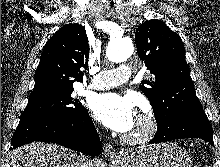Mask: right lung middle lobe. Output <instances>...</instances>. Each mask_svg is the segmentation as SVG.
<instances>
[{
	"label": "right lung middle lobe",
	"instance_id": "1",
	"mask_svg": "<svg viewBox=\"0 0 220 167\" xmlns=\"http://www.w3.org/2000/svg\"><path fill=\"white\" fill-rule=\"evenodd\" d=\"M73 88L42 97L29 99L21 116V120L54 115L58 117L72 116L84 106L72 97Z\"/></svg>",
	"mask_w": 220,
	"mask_h": 167
}]
</instances>
